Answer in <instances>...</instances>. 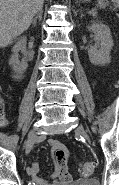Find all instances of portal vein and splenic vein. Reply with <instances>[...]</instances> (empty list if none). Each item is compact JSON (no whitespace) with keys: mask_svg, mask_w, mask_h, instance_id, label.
Returning a JSON list of instances; mask_svg holds the SVG:
<instances>
[{"mask_svg":"<svg viewBox=\"0 0 119 185\" xmlns=\"http://www.w3.org/2000/svg\"><path fill=\"white\" fill-rule=\"evenodd\" d=\"M90 14L96 13V9H92L89 11Z\"/></svg>","mask_w":119,"mask_h":185,"instance_id":"obj_1","label":"portal vein and splenic vein"}]
</instances>
